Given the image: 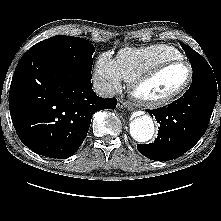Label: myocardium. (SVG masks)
Returning a JSON list of instances; mask_svg holds the SVG:
<instances>
[{
	"label": "myocardium",
	"mask_w": 221,
	"mask_h": 221,
	"mask_svg": "<svg viewBox=\"0 0 221 221\" xmlns=\"http://www.w3.org/2000/svg\"><path fill=\"white\" fill-rule=\"evenodd\" d=\"M176 65H183L188 69V77L184 82V84L179 89L172 92L171 94L159 98L146 97L144 94L141 93V89L144 85L154 80L159 74H161L166 69ZM193 77H194L193 67L188 61L183 59L167 60L165 62L156 65L148 72L144 73L143 75L135 79L131 85V95L138 103H140L145 107L148 108L164 107L177 100L188 90V88L192 84Z\"/></svg>",
	"instance_id": "obj_1"
}]
</instances>
